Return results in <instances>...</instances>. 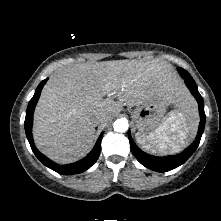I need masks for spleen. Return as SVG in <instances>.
<instances>
[{"label":"spleen","instance_id":"obj_1","mask_svg":"<svg viewBox=\"0 0 221 221\" xmlns=\"http://www.w3.org/2000/svg\"><path fill=\"white\" fill-rule=\"evenodd\" d=\"M197 114L194 109L174 110L160 126L156 134L136 133L137 142L152 153L175 154L184 149L195 135Z\"/></svg>","mask_w":221,"mask_h":221}]
</instances>
